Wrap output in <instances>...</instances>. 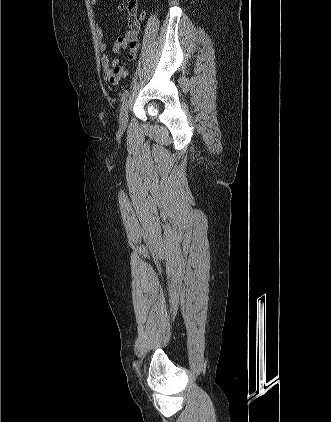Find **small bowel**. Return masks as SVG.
I'll return each mask as SVG.
<instances>
[{"mask_svg":"<svg viewBox=\"0 0 331 422\" xmlns=\"http://www.w3.org/2000/svg\"><path fill=\"white\" fill-rule=\"evenodd\" d=\"M92 7L99 5V0H90ZM131 28L123 35L118 37L113 43L112 50L116 54L127 51L128 58L133 60L138 51V21L132 22L130 20ZM95 34L97 38V46L101 52V67L105 79L112 85H117L122 79L128 76V71L125 69L120 58L110 59L107 54V41L104 36V31L100 25L99 20L95 19Z\"/></svg>","mask_w":331,"mask_h":422,"instance_id":"small-bowel-1","label":"small bowel"}]
</instances>
